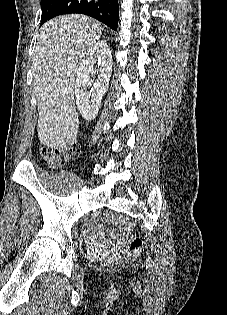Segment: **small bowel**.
I'll return each mask as SVG.
<instances>
[{
  "label": "small bowel",
  "mask_w": 227,
  "mask_h": 315,
  "mask_svg": "<svg viewBox=\"0 0 227 315\" xmlns=\"http://www.w3.org/2000/svg\"><path fill=\"white\" fill-rule=\"evenodd\" d=\"M96 234L97 235H102L103 234V228H98L96 230ZM120 245H121V242L120 241H117V242H108V243H104L103 246L106 248V249H109L111 251H117L118 248H120Z\"/></svg>",
  "instance_id": "1"
}]
</instances>
